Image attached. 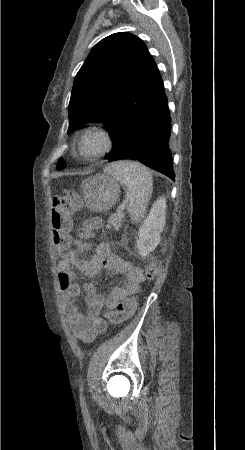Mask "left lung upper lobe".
<instances>
[{
  "label": "left lung upper lobe",
  "mask_w": 245,
  "mask_h": 450,
  "mask_svg": "<svg viewBox=\"0 0 245 450\" xmlns=\"http://www.w3.org/2000/svg\"><path fill=\"white\" fill-rule=\"evenodd\" d=\"M163 86L145 43L130 33L112 34L93 47L75 77L68 132L89 121L102 122L113 140L110 153L119 152ZM64 167L60 159L57 169Z\"/></svg>",
  "instance_id": "obj_1"
}]
</instances>
